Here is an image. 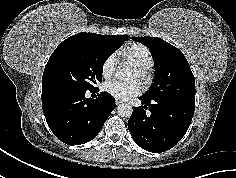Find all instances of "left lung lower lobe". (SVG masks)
Returning <instances> with one entry per match:
<instances>
[{
    "label": "left lung lower lobe",
    "mask_w": 236,
    "mask_h": 178,
    "mask_svg": "<svg viewBox=\"0 0 236 178\" xmlns=\"http://www.w3.org/2000/svg\"><path fill=\"white\" fill-rule=\"evenodd\" d=\"M139 99L142 106L133 108L128 121L129 132L136 144L153 153L174 147L188 130L195 104L149 100L143 96Z\"/></svg>",
    "instance_id": "0a47b994"
}]
</instances>
